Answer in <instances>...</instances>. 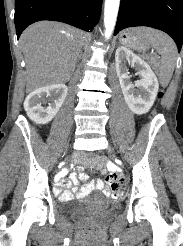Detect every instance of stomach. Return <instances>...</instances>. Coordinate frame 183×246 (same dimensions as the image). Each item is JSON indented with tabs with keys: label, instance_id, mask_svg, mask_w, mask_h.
Here are the masks:
<instances>
[{
	"label": "stomach",
	"instance_id": "1",
	"mask_svg": "<svg viewBox=\"0 0 183 246\" xmlns=\"http://www.w3.org/2000/svg\"><path fill=\"white\" fill-rule=\"evenodd\" d=\"M145 31V28H132L125 30L120 35V42L126 46L136 48V49H145L148 43L143 38L142 33Z\"/></svg>",
	"mask_w": 183,
	"mask_h": 246
}]
</instances>
